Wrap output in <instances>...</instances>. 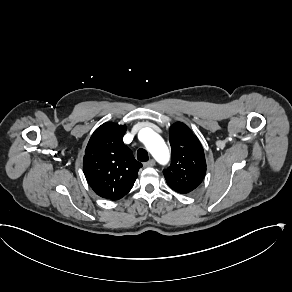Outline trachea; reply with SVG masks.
I'll list each match as a JSON object with an SVG mask.
<instances>
[{"instance_id": "1", "label": "trachea", "mask_w": 292, "mask_h": 292, "mask_svg": "<svg viewBox=\"0 0 292 292\" xmlns=\"http://www.w3.org/2000/svg\"><path fill=\"white\" fill-rule=\"evenodd\" d=\"M137 159L139 161H141V162L148 161L149 160L148 152L143 148L138 149V151H137Z\"/></svg>"}]
</instances>
